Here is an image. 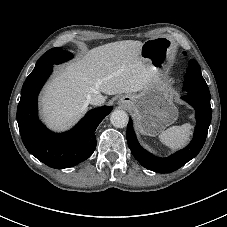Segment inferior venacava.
Returning a JSON list of instances; mask_svg holds the SVG:
<instances>
[{"label": "inferior vena cava", "mask_w": 227, "mask_h": 227, "mask_svg": "<svg viewBox=\"0 0 227 227\" xmlns=\"http://www.w3.org/2000/svg\"><path fill=\"white\" fill-rule=\"evenodd\" d=\"M88 104L99 106L105 102V97L100 93L89 94L86 99Z\"/></svg>", "instance_id": "inferior-vena-cava-1"}]
</instances>
